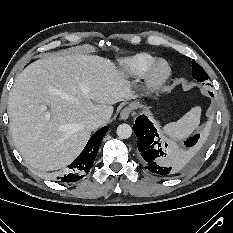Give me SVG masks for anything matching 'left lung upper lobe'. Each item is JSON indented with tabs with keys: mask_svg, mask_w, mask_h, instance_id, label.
<instances>
[{
	"mask_svg": "<svg viewBox=\"0 0 233 233\" xmlns=\"http://www.w3.org/2000/svg\"><path fill=\"white\" fill-rule=\"evenodd\" d=\"M192 70V77L198 82H203L208 79V75L206 74L205 70L194 60H192Z\"/></svg>",
	"mask_w": 233,
	"mask_h": 233,
	"instance_id": "obj_1",
	"label": "left lung upper lobe"
}]
</instances>
